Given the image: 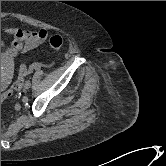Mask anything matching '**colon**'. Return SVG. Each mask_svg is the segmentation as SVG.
Here are the masks:
<instances>
[{
	"label": "colon",
	"instance_id": "1",
	"mask_svg": "<svg viewBox=\"0 0 166 166\" xmlns=\"http://www.w3.org/2000/svg\"><path fill=\"white\" fill-rule=\"evenodd\" d=\"M50 47L54 50H58L63 46V38L60 35H52L49 38ZM28 73V68L25 64H22L19 69V78L13 83L10 89L5 92H1V102L10 97L14 91L21 88L23 77Z\"/></svg>",
	"mask_w": 166,
	"mask_h": 166
}]
</instances>
